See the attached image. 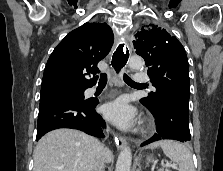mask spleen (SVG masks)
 Segmentation results:
<instances>
[{
  "label": "spleen",
  "mask_w": 223,
  "mask_h": 171,
  "mask_svg": "<svg viewBox=\"0 0 223 171\" xmlns=\"http://www.w3.org/2000/svg\"><path fill=\"white\" fill-rule=\"evenodd\" d=\"M153 146H160L164 154L178 165L179 171H195L192 154L185 145L173 140H162Z\"/></svg>",
  "instance_id": "obj_1"
}]
</instances>
